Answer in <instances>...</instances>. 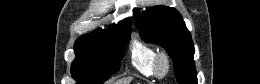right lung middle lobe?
Segmentation results:
<instances>
[{
	"mask_svg": "<svg viewBox=\"0 0 260 84\" xmlns=\"http://www.w3.org/2000/svg\"><path fill=\"white\" fill-rule=\"evenodd\" d=\"M130 33L110 35L82 45H75L76 58L71 72L77 84H102L117 72Z\"/></svg>",
	"mask_w": 260,
	"mask_h": 84,
	"instance_id": "dd1d6c3e",
	"label": "right lung middle lobe"
}]
</instances>
